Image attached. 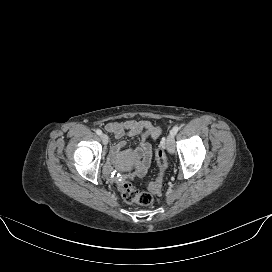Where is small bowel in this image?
<instances>
[{
	"label": "small bowel",
	"mask_w": 272,
	"mask_h": 272,
	"mask_svg": "<svg viewBox=\"0 0 272 272\" xmlns=\"http://www.w3.org/2000/svg\"><path fill=\"white\" fill-rule=\"evenodd\" d=\"M105 130L120 141L112 148L114 155H118L126 146L125 136H140V145L127 152L130 157L141 159L137 175H142L148 169L152 159V144L159 137L161 129L148 120L125 122H109L105 125Z\"/></svg>",
	"instance_id": "obj_1"
}]
</instances>
